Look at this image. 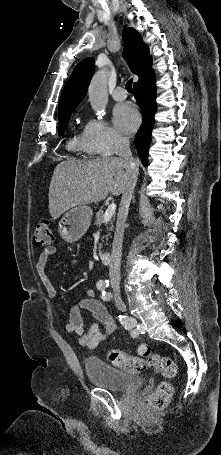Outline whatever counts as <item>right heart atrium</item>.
Here are the masks:
<instances>
[{"label": "right heart atrium", "mask_w": 221, "mask_h": 455, "mask_svg": "<svg viewBox=\"0 0 221 455\" xmlns=\"http://www.w3.org/2000/svg\"><path fill=\"white\" fill-rule=\"evenodd\" d=\"M85 152L95 155L116 153L125 138L111 125L101 119L91 118L82 131Z\"/></svg>", "instance_id": "obj_1"}]
</instances>
